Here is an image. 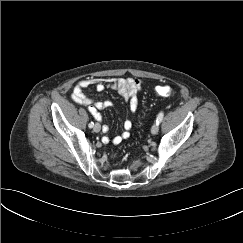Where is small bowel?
<instances>
[{"instance_id":"1","label":"small bowel","mask_w":243,"mask_h":243,"mask_svg":"<svg viewBox=\"0 0 243 243\" xmlns=\"http://www.w3.org/2000/svg\"><path fill=\"white\" fill-rule=\"evenodd\" d=\"M95 87L96 91L101 92L106 88H112L116 90L123 99L129 104V109L131 112H135L138 107V95L142 89V81L140 79L134 78H109V79H99V78H86L80 80L74 87L71 94V98L74 102L80 105L88 106L90 112L95 119L101 120L102 116L99 110L109 108L112 106L110 100L100 101L92 98L85 94V90L89 87ZM124 131L112 139L108 137L103 138L104 143L111 141L113 144H119L122 140L129 137V130L132 128V122L126 120L123 124ZM109 127L107 125L103 126V131L108 132Z\"/></svg>"}]
</instances>
